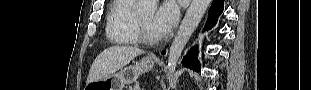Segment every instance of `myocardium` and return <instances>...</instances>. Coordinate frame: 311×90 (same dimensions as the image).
I'll return each instance as SVG.
<instances>
[{
  "mask_svg": "<svg viewBox=\"0 0 311 90\" xmlns=\"http://www.w3.org/2000/svg\"><path fill=\"white\" fill-rule=\"evenodd\" d=\"M135 27H136L138 41L143 44L154 45L160 42L162 39L161 36H157V37L150 36L144 24L141 21L140 15H137V14L135 18Z\"/></svg>",
  "mask_w": 311,
  "mask_h": 90,
  "instance_id": "1",
  "label": "myocardium"
}]
</instances>
